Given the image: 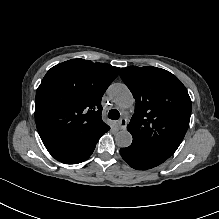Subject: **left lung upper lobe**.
Segmentation results:
<instances>
[{"label":"left lung upper lobe","mask_w":219,"mask_h":219,"mask_svg":"<svg viewBox=\"0 0 219 219\" xmlns=\"http://www.w3.org/2000/svg\"><path fill=\"white\" fill-rule=\"evenodd\" d=\"M120 76L133 94L135 113L127 125L133 142L164 159L181 144L190 121L191 99L172 73L156 67L128 66Z\"/></svg>","instance_id":"obj_1"}]
</instances>
